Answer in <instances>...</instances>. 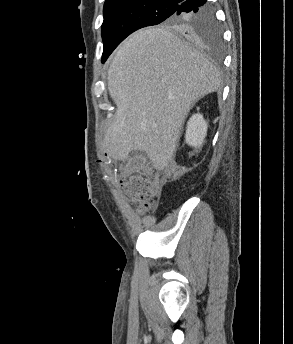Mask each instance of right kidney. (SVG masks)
I'll return each mask as SVG.
<instances>
[{"label":"right kidney","mask_w":293,"mask_h":344,"mask_svg":"<svg viewBox=\"0 0 293 344\" xmlns=\"http://www.w3.org/2000/svg\"><path fill=\"white\" fill-rule=\"evenodd\" d=\"M207 122L204 120L203 115L194 114L191 116L187 123L185 141L188 145L200 148L207 134Z\"/></svg>","instance_id":"1"}]
</instances>
